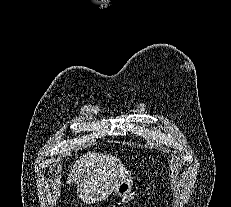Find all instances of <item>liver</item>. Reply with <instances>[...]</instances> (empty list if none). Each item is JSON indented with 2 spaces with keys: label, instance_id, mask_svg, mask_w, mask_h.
Returning a JSON list of instances; mask_svg holds the SVG:
<instances>
[{
  "label": "liver",
  "instance_id": "liver-1",
  "mask_svg": "<svg viewBox=\"0 0 231 207\" xmlns=\"http://www.w3.org/2000/svg\"><path fill=\"white\" fill-rule=\"evenodd\" d=\"M127 177L120 159L88 151L75 161L66 183L76 184L79 198L91 204L105 200Z\"/></svg>",
  "mask_w": 231,
  "mask_h": 207
}]
</instances>
